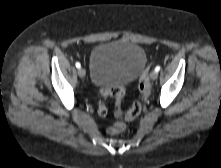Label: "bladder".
Wrapping results in <instances>:
<instances>
[{
	"label": "bladder",
	"mask_w": 221,
	"mask_h": 168,
	"mask_svg": "<svg viewBox=\"0 0 221 168\" xmlns=\"http://www.w3.org/2000/svg\"><path fill=\"white\" fill-rule=\"evenodd\" d=\"M144 49L124 40L96 45L89 59L90 78L94 85L107 88L133 82L146 64Z\"/></svg>",
	"instance_id": "1"
}]
</instances>
